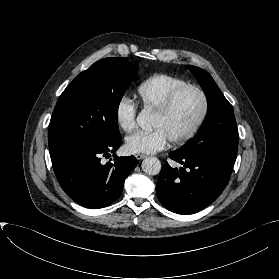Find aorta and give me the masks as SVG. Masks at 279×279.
I'll use <instances>...</instances> for the list:
<instances>
[{
    "instance_id": "obj_1",
    "label": "aorta",
    "mask_w": 279,
    "mask_h": 279,
    "mask_svg": "<svg viewBox=\"0 0 279 279\" xmlns=\"http://www.w3.org/2000/svg\"><path fill=\"white\" fill-rule=\"evenodd\" d=\"M137 124L144 131H150L152 129V115L151 113L143 109L137 116ZM142 170L148 175H157L161 171V162L156 157H148L142 162Z\"/></svg>"
}]
</instances>
